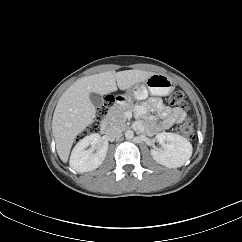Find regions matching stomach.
<instances>
[{
	"mask_svg": "<svg viewBox=\"0 0 242 242\" xmlns=\"http://www.w3.org/2000/svg\"><path fill=\"white\" fill-rule=\"evenodd\" d=\"M175 85V81L168 75L154 73L146 80L133 85L125 96L124 102H130L132 99L143 100L148 93L167 96L174 90Z\"/></svg>",
	"mask_w": 242,
	"mask_h": 242,
	"instance_id": "1",
	"label": "stomach"
}]
</instances>
